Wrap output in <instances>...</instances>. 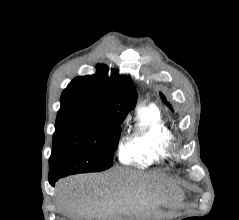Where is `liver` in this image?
Here are the masks:
<instances>
[{
  "mask_svg": "<svg viewBox=\"0 0 239 220\" xmlns=\"http://www.w3.org/2000/svg\"><path fill=\"white\" fill-rule=\"evenodd\" d=\"M182 190L144 172L119 168L60 180L55 201L60 212L77 220H110L114 215L141 217L146 209L182 199Z\"/></svg>",
  "mask_w": 239,
  "mask_h": 220,
  "instance_id": "1",
  "label": "liver"
}]
</instances>
